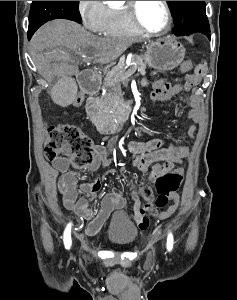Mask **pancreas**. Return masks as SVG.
Wrapping results in <instances>:
<instances>
[{
  "mask_svg": "<svg viewBox=\"0 0 237 300\" xmlns=\"http://www.w3.org/2000/svg\"><path fill=\"white\" fill-rule=\"evenodd\" d=\"M131 63H134L135 71H138L139 75H145L146 73V63H143L142 57L139 55H133ZM132 68V67H131ZM135 73V72H134ZM126 69H120V67H113L111 71H108L106 77H104V83L102 89H113L119 83H122V77L126 79L127 75ZM133 75V73H132ZM103 113H106L107 117H112V119H119L121 117V101L114 95V93H108L103 97Z\"/></svg>",
  "mask_w": 237,
  "mask_h": 300,
  "instance_id": "1",
  "label": "pancreas"
}]
</instances>
